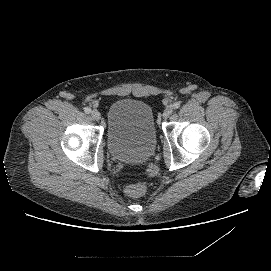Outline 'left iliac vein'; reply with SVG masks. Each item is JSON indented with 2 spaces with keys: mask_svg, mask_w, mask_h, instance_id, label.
Here are the masks:
<instances>
[{
  "mask_svg": "<svg viewBox=\"0 0 271 271\" xmlns=\"http://www.w3.org/2000/svg\"><path fill=\"white\" fill-rule=\"evenodd\" d=\"M173 113V106H167L163 112V118L169 117Z\"/></svg>",
  "mask_w": 271,
  "mask_h": 271,
  "instance_id": "left-iliac-vein-1",
  "label": "left iliac vein"
}]
</instances>
